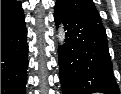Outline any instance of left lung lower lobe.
<instances>
[{"label":"left lung lower lobe","instance_id":"left-lung-lower-lobe-1","mask_svg":"<svg viewBox=\"0 0 121 94\" xmlns=\"http://www.w3.org/2000/svg\"><path fill=\"white\" fill-rule=\"evenodd\" d=\"M54 17L67 30L58 53L63 94H120L103 25L73 15L57 2Z\"/></svg>","mask_w":121,"mask_h":94}]
</instances>
